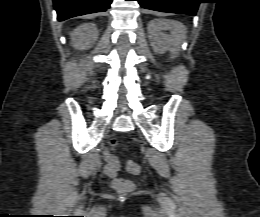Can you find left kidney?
I'll return each mask as SVG.
<instances>
[{"mask_svg":"<svg viewBox=\"0 0 260 217\" xmlns=\"http://www.w3.org/2000/svg\"><path fill=\"white\" fill-rule=\"evenodd\" d=\"M149 39L153 51L156 54H162L170 51L175 57L178 54L181 39L178 36L174 26L170 22L152 20L149 22ZM162 30H170L171 36H160Z\"/></svg>","mask_w":260,"mask_h":217,"instance_id":"left-kidney-1","label":"left kidney"}]
</instances>
